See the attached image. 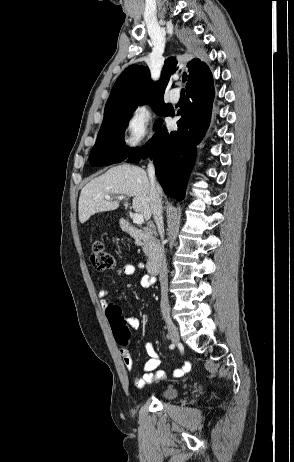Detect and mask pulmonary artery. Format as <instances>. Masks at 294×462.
<instances>
[{
	"mask_svg": "<svg viewBox=\"0 0 294 462\" xmlns=\"http://www.w3.org/2000/svg\"><path fill=\"white\" fill-rule=\"evenodd\" d=\"M179 98H180V92L178 89L174 88L169 91L168 99L170 102L177 103L179 101Z\"/></svg>",
	"mask_w": 294,
	"mask_h": 462,
	"instance_id": "obj_1",
	"label": "pulmonary artery"
}]
</instances>
